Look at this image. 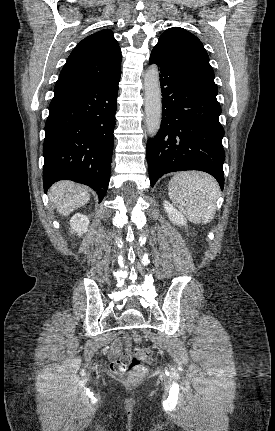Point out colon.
I'll use <instances>...</instances> for the list:
<instances>
[{
  "label": "colon",
  "instance_id": "obj_1",
  "mask_svg": "<svg viewBox=\"0 0 275 431\" xmlns=\"http://www.w3.org/2000/svg\"><path fill=\"white\" fill-rule=\"evenodd\" d=\"M134 341L135 343H140L142 337L138 333H134L132 336L125 338L126 343ZM152 361V352L147 348H137L134 351V355L129 362V380L138 381L140 380L144 373L145 367L144 363H149Z\"/></svg>",
  "mask_w": 275,
  "mask_h": 431
}]
</instances>
